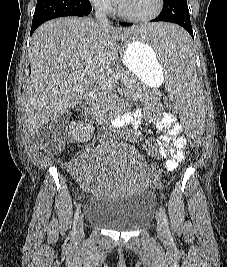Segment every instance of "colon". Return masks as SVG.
Wrapping results in <instances>:
<instances>
[{
	"mask_svg": "<svg viewBox=\"0 0 227 267\" xmlns=\"http://www.w3.org/2000/svg\"><path fill=\"white\" fill-rule=\"evenodd\" d=\"M168 116H175L178 109L174 104H165ZM40 146L50 152L60 151L67 140V131L60 123H51L46 128L42 129L37 136ZM198 154V149H188L186 153L179 158L178 171H187V164H191L193 158ZM154 192H165V187H154Z\"/></svg>",
	"mask_w": 227,
	"mask_h": 267,
	"instance_id": "obj_1",
	"label": "colon"
}]
</instances>
